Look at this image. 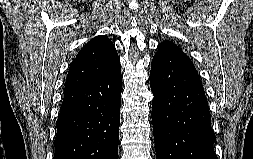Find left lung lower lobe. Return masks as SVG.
I'll list each match as a JSON object with an SVG mask.
<instances>
[{"label": "left lung lower lobe", "mask_w": 253, "mask_h": 159, "mask_svg": "<svg viewBox=\"0 0 253 159\" xmlns=\"http://www.w3.org/2000/svg\"><path fill=\"white\" fill-rule=\"evenodd\" d=\"M150 86L156 159H218L208 102L189 57L157 52Z\"/></svg>", "instance_id": "obj_1"}]
</instances>
